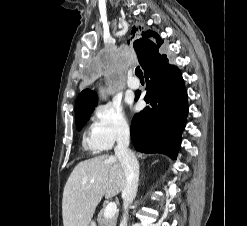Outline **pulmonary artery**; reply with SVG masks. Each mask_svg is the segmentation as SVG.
Returning <instances> with one entry per match:
<instances>
[{
    "mask_svg": "<svg viewBox=\"0 0 247 226\" xmlns=\"http://www.w3.org/2000/svg\"><path fill=\"white\" fill-rule=\"evenodd\" d=\"M127 86H128V88L134 90V89H137L139 87V82L136 79H134L133 77H130L127 81Z\"/></svg>",
    "mask_w": 247,
    "mask_h": 226,
    "instance_id": "1",
    "label": "pulmonary artery"
}]
</instances>
